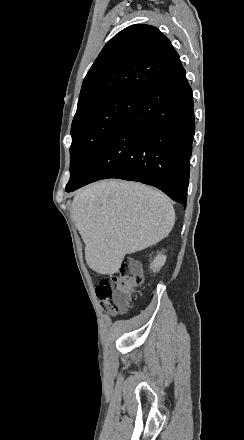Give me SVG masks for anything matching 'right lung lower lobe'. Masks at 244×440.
<instances>
[{"label": "right lung lower lobe", "instance_id": "obj_1", "mask_svg": "<svg viewBox=\"0 0 244 440\" xmlns=\"http://www.w3.org/2000/svg\"><path fill=\"white\" fill-rule=\"evenodd\" d=\"M194 132L192 90L181 67L139 99L66 191L120 178L157 187L186 207Z\"/></svg>", "mask_w": 244, "mask_h": 440}]
</instances>
